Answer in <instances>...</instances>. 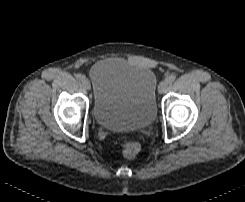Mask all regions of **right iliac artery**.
Segmentation results:
<instances>
[{
  "label": "right iliac artery",
  "mask_w": 245,
  "mask_h": 202,
  "mask_svg": "<svg viewBox=\"0 0 245 202\" xmlns=\"http://www.w3.org/2000/svg\"><path fill=\"white\" fill-rule=\"evenodd\" d=\"M83 78H84L83 75H81V74H76V79H77V80H82Z\"/></svg>",
  "instance_id": "82829eb1"
}]
</instances>
